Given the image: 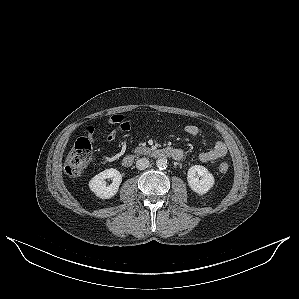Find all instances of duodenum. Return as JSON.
<instances>
[{
  "instance_id": "1",
  "label": "duodenum",
  "mask_w": 299,
  "mask_h": 299,
  "mask_svg": "<svg viewBox=\"0 0 299 299\" xmlns=\"http://www.w3.org/2000/svg\"><path fill=\"white\" fill-rule=\"evenodd\" d=\"M148 153L151 156L172 158V159H176L179 155L178 150L171 148V147H163V148H158V149H154V150H149ZM134 161H135V155L130 154V155L125 156L122 159L121 164L123 167L128 168L134 164Z\"/></svg>"
}]
</instances>
